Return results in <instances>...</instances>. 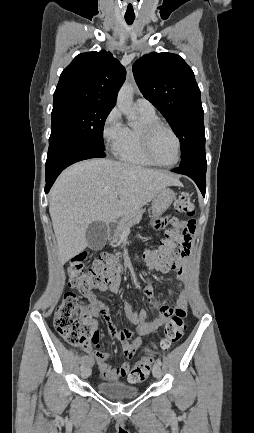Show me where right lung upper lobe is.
<instances>
[{
  "instance_id": "obj_1",
  "label": "right lung upper lobe",
  "mask_w": 254,
  "mask_h": 433,
  "mask_svg": "<svg viewBox=\"0 0 254 433\" xmlns=\"http://www.w3.org/2000/svg\"><path fill=\"white\" fill-rule=\"evenodd\" d=\"M125 77V68L110 52L79 54L61 73L53 105L78 101L113 108Z\"/></svg>"
}]
</instances>
